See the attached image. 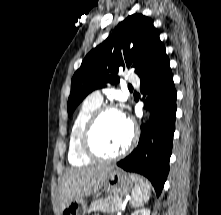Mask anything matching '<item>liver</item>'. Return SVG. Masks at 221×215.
<instances>
[{"instance_id": "obj_1", "label": "liver", "mask_w": 221, "mask_h": 215, "mask_svg": "<svg viewBox=\"0 0 221 215\" xmlns=\"http://www.w3.org/2000/svg\"><path fill=\"white\" fill-rule=\"evenodd\" d=\"M112 170V166L98 165L66 172L59 190L61 211L73 200L88 197L97 192Z\"/></svg>"}]
</instances>
